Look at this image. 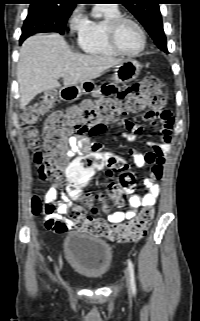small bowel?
<instances>
[{
  "label": "small bowel",
  "mask_w": 200,
  "mask_h": 321,
  "mask_svg": "<svg viewBox=\"0 0 200 321\" xmlns=\"http://www.w3.org/2000/svg\"><path fill=\"white\" fill-rule=\"evenodd\" d=\"M141 88V83H131L130 86H124L123 88L116 87V84L111 82L101 83L98 92L101 97L123 98V96H129L130 93H135L136 90H141ZM144 117L152 125L157 123L161 125V140L159 143L150 142L151 150L146 153L130 151L133 163L137 167L151 165L144 181L146 192L141 196L132 195L129 198V208L125 211L118 210L112 212L106 209L105 215L111 224L117 225L133 219L138 214L140 207H152L160 194V186L156 183V180L160 179L163 174L166 155L171 149L173 118L171 113L166 109L149 110ZM124 127L126 131L122 133V136L128 140H134L141 130L138 123L131 121H125ZM68 145V157L76 153L90 154L101 150V144L98 141H92L87 136L69 137ZM107 176L113 178L114 171L108 169ZM63 185L62 181L54 182L44 195L45 205H50L54 208L52 212L45 214V227L49 231L60 234L76 227L75 223L72 220L65 219L64 215L69 213L70 209L74 206V200L78 199L65 198Z\"/></svg>",
  "instance_id": "1"
}]
</instances>
